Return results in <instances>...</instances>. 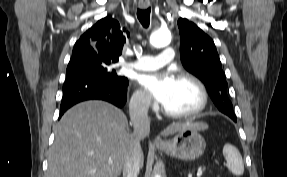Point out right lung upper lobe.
Instances as JSON below:
<instances>
[{
	"mask_svg": "<svg viewBox=\"0 0 287 177\" xmlns=\"http://www.w3.org/2000/svg\"><path fill=\"white\" fill-rule=\"evenodd\" d=\"M124 32L125 28L121 29L118 21L113 18L99 20L75 43L70 62L88 58L117 62L126 42Z\"/></svg>",
	"mask_w": 287,
	"mask_h": 177,
	"instance_id": "cb5924a9",
	"label": "right lung upper lobe"
}]
</instances>
